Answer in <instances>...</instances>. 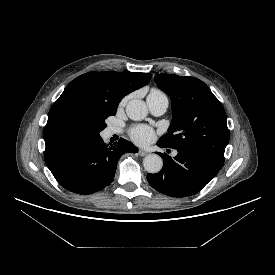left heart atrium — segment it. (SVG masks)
Here are the masks:
<instances>
[{
    "mask_svg": "<svg viewBox=\"0 0 275 275\" xmlns=\"http://www.w3.org/2000/svg\"><path fill=\"white\" fill-rule=\"evenodd\" d=\"M131 138L139 145H146L154 139V130L145 125H139L131 130Z\"/></svg>",
    "mask_w": 275,
    "mask_h": 275,
    "instance_id": "left-heart-atrium-1",
    "label": "left heart atrium"
}]
</instances>
